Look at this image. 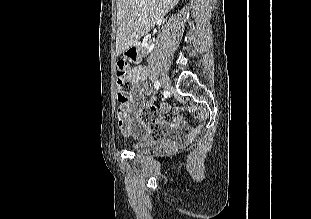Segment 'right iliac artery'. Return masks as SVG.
<instances>
[{
    "label": "right iliac artery",
    "mask_w": 311,
    "mask_h": 219,
    "mask_svg": "<svg viewBox=\"0 0 311 219\" xmlns=\"http://www.w3.org/2000/svg\"><path fill=\"white\" fill-rule=\"evenodd\" d=\"M154 86H155L156 90H158L160 88V82L158 80L155 81Z\"/></svg>",
    "instance_id": "82829eb1"
}]
</instances>
